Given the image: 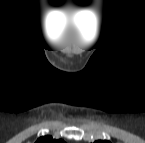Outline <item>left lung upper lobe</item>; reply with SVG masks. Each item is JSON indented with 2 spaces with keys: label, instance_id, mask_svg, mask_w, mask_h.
<instances>
[{
  "label": "left lung upper lobe",
  "instance_id": "1",
  "mask_svg": "<svg viewBox=\"0 0 145 143\" xmlns=\"http://www.w3.org/2000/svg\"><path fill=\"white\" fill-rule=\"evenodd\" d=\"M97 143H107V141H97Z\"/></svg>",
  "mask_w": 145,
  "mask_h": 143
}]
</instances>
